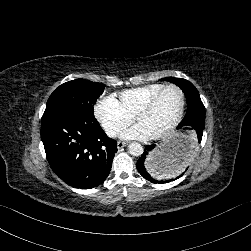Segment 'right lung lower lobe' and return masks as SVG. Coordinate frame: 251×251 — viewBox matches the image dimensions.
Here are the masks:
<instances>
[{
  "instance_id": "right-lung-lower-lobe-1",
  "label": "right lung lower lobe",
  "mask_w": 251,
  "mask_h": 251,
  "mask_svg": "<svg viewBox=\"0 0 251 251\" xmlns=\"http://www.w3.org/2000/svg\"><path fill=\"white\" fill-rule=\"evenodd\" d=\"M41 139L54 173L80 189L101 184L117 152V141L105 134L94 116L70 111H45Z\"/></svg>"
}]
</instances>
